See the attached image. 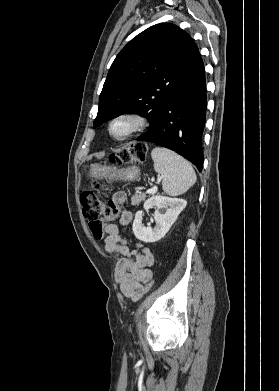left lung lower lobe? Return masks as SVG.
Returning <instances> with one entry per match:
<instances>
[{"label": "left lung lower lobe", "mask_w": 279, "mask_h": 391, "mask_svg": "<svg viewBox=\"0 0 279 391\" xmlns=\"http://www.w3.org/2000/svg\"><path fill=\"white\" fill-rule=\"evenodd\" d=\"M207 98L202 59L161 109L156 123L137 140L167 147L203 168L202 134Z\"/></svg>", "instance_id": "obj_1"}]
</instances>
